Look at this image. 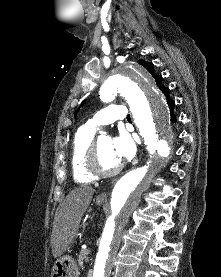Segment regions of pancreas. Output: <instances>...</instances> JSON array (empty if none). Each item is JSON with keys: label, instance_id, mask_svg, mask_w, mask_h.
<instances>
[{"label": "pancreas", "instance_id": "obj_1", "mask_svg": "<svg viewBox=\"0 0 221 277\" xmlns=\"http://www.w3.org/2000/svg\"><path fill=\"white\" fill-rule=\"evenodd\" d=\"M89 253L90 252L88 249L81 250V252L79 254V258H78V263L81 267L83 266L84 259H87V256Z\"/></svg>", "mask_w": 221, "mask_h": 277}]
</instances>
